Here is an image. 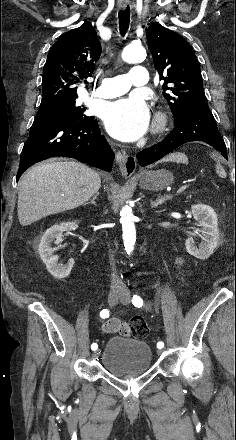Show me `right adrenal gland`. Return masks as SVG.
Returning <instances> with one entry per match:
<instances>
[{"label": "right adrenal gland", "mask_w": 236, "mask_h": 440, "mask_svg": "<svg viewBox=\"0 0 236 440\" xmlns=\"http://www.w3.org/2000/svg\"><path fill=\"white\" fill-rule=\"evenodd\" d=\"M98 195H99V192H97L95 194V196L92 198V200L90 202H87L86 204H93L94 206H97L96 203H95V200L98 197Z\"/></svg>", "instance_id": "obj_1"}]
</instances>
